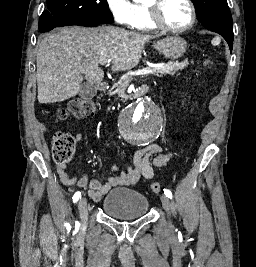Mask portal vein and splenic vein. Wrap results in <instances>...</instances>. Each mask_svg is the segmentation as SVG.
I'll use <instances>...</instances> for the list:
<instances>
[{
  "mask_svg": "<svg viewBox=\"0 0 256 267\" xmlns=\"http://www.w3.org/2000/svg\"><path fill=\"white\" fill-rule=\"evenodd\" d=\"M101 66H109V60H107V62H104V60H101L100 62ZM160 68H166V65H163V64H160ZM160 68H159V71H160ZM153 73H156V70H153V68H141L140 69H133L132 72H128L129 76H134V77H137L138 75L139 76H142L143 74H153Z\"/></svg>",
  "mask_w": 256,
  "mask_h": 267,
  "instance_id": "18ae733b",
  "label": "portal vein and splenic vein"
}]
</instances>
